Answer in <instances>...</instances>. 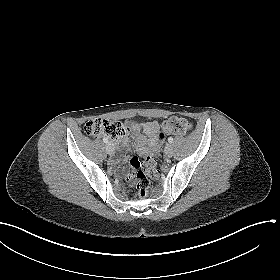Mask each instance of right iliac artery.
<instances>
[{
  "mask_svg": "<svg viewBox=\"0 0 280 280\" xmlns=\"http://www.w3.org/2000/svg\"><path fill=\"white\" fill-rule=\"evenodd\" d=\"M103 142L104 143H108V139L107 138H103Z\"/></svg>",
  "mask_w": 280,
  "mask_h": 280,
  "instance_id": "82829eb1",
  "label": "right iliac artery"
}]
</instances>
